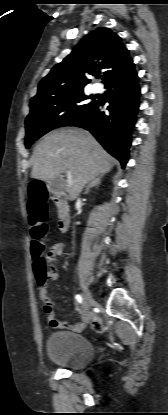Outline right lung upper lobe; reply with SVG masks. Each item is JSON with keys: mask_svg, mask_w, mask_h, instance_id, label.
I'll list each match as a JSON object with an SVG mask.
<instances>
[{"mask_svg": "<svg viewBox=\"0 0 168 415\" xmlns=\"http://www.w3.org/2000/svg\"><path fill=\"white\" fill-rule=\"evenodd\" d=\"M132 64L133 61L120 37L108 28H97L86 35L40 81L38 93L30 101V108L83 91L84 86L90 82L87 75L95 76L105 70V84Z\"/></svg>", "mask_w": 168, "mask_h": 415, "instance_id": "cb5924a9", "label": "right lung upper lobe"}]
</instances>
